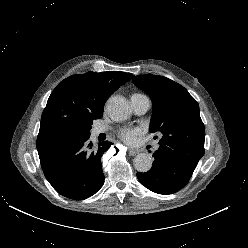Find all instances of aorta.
<instances>
[{
    "mask_svg": "<svg viewBox=\"0 0 248 248\" xmlns=\"http://www.w3.org/2000/svg\"><path fill=\"white\" fill-rule=\"evenodd\" d=\"M107 113L114 121H123L131 113L129 102L122 96H113L107 101ZM134 167L139 172H148L152 167V158L146 153H140L135 156Z\"/></svg>",
    "mask_w": 248,
    "mask_h": 248,
    "instance_id": "aorta-1",
    "label": "aorta"
}]
</instances>
